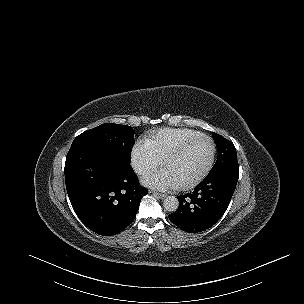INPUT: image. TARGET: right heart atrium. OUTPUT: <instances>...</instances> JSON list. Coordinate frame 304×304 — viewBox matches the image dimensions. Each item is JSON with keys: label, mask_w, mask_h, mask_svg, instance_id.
Segmentation results:
<instances>
[{"label": "right heart atrium", "mask_w": 304, "mask_h": 304, "mask_svg": "<svg viewBox=\"0 0 304 304\" xmlns=\"http://www.w3.org/2000/svg\"><path fill=\"white\" fill-rule=\"evenodd\" d=\"M132 166L140 173L155 170L159 165V159L153 154L149 146L138 142L131 153Z\"/></svg>", "instance_id": "1"}]
</instances>
